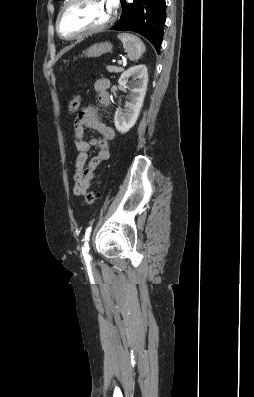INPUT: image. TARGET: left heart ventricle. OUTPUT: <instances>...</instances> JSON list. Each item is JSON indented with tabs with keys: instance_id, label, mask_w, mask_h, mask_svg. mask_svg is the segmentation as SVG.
<instances>
[{
	"instance_id": "left-heart-ventricle-1",
	"label": "left heart ventricle",
	"mask_w": 254,
	"mask_h": 397,
	"mask_svg": "<svg viewBox=\"0 0 254 397\" xmlns=\"http://www.w3.org/2000/svg\"><path fill=\"white\" fill-rule=\"evenodd\" d=\"M110 5L104 0H76L61 18V30L73 35L103 24L110 15Z\"/></svg>"
}]
</instances>
